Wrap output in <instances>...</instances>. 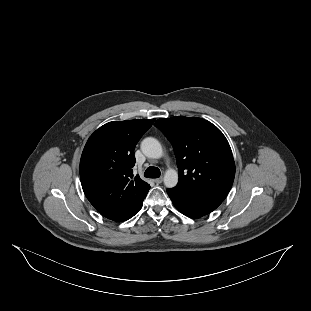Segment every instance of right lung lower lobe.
Returning a JSON list of instances; mask_svg holds the SVG:
<instances>
[{"label": "right lung lower lobe", "instance_id": "1", "mask_svg": "<svg viewBox=\"0 0 311 311\" xmlns=\"http://www.w3.org/2000/svg\"><path fill=\"white\" fill-rule=\"evenodd\" d=\"M143 205V201L141 202V204L137 207V209L135 210L134 214L132 216H134L142 207Z\"/></svg>", "mask_w": 311, "mask_h": 311}]
</instances>
